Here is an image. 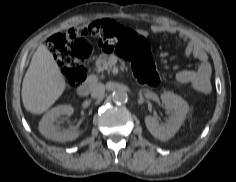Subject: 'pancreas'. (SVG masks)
Returning <instances> with one entry per match:
<instances>
[{"label": "pancreas", "mask_w": 236, "mask_h": 182, "mask_svg": "<svg viewBox=\"0 0 236 182\" xmlns=\"http://www.w3.org/2000/svg\"><path fill=\"white\" fill-rule=\"evenodd\" d=\"M96 67H97L98 72H101L104 70L110 71L112 69V64L109 61V57L107 55L100 56L96 60Z\"/></svg>", "instance_id": "cf45deb5"}]
</instances>
